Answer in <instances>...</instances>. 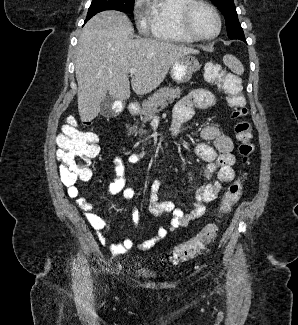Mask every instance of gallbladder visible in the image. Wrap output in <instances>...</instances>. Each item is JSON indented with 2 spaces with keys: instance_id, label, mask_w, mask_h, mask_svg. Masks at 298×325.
<instances>
[{
  "instance_id": "bac80fb5",
  "label": "gallbladder",
  "mask_w": 298,
  "mask_h": 325,
  "mask_svg": "<svg viewBox=\"0 0 298 325\" xmlns=\"http://www.w3.org/2000/svg\"><path fill=\"white\" fill-rule=\"evenodd\" d=\"M115 98L113 96H105L100 102V114L102 116H116L117 112L114 108Z\"/></svg>"
}]
</instances>
